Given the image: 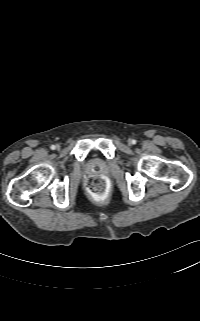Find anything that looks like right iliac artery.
<instances>
[{
  "label": "right iliac artery",
  "mask_w": 200,
  "mask_h": 321,
  "mask_svg": "<svg viewBox=\"0 0 200 321\" xmlns=\"http://www.w3.org/2000/svg\"><path fill=\"white\" fill-rule=\"evenodd\" d=\"M52 150H54L55 148H56V146L55 145H51V147H50Z\"/></svg>",
  "instance_id": "1"
}]
</instances>
